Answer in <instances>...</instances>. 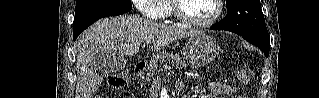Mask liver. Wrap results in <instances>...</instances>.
Returning a JSON list of instances; mask_svg holds the SVG:
<instances>
[{"label": "liver", "instance_id": "obj_1", "mask_svg": "<svg viewBox=\"0 0 319 98\" xmlns=\"http://www.w3.org/2000/svg\"><path fill=\"white\" fill-rule=\"evenodd\" d=\"M199 31L158 24L139 15H124L98 20L85 30L77 41L78 80L75 98H91L103 82L98 74L99 54L116 53L132 56L140 45L152 38V51H159L173 41Z\"/></svg>", "mask_w": 319, "mask_h": 98}]
</instances>
